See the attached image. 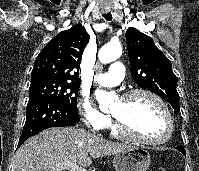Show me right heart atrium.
Masks as SVG:
<instances>
[{"mask_svg": "<svg viewBox=\"0 0 199 171\" xmlns=\"http://www.w3.org/2000/svg\"><path fill=\"white\" fill-rule=\"evenodd\" d=\"M77 109L84 123L95 132L103 130L110 123L109 116L100 112L85 95L78 98Z\"/></svg>", "mask_w": 199, "mask_h": 171, "instance_id": "d8ad5b80", "label": "right heart atrium"}]
</instances>
